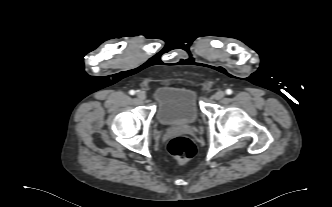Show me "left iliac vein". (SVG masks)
I'll return each mask as SVG.
<instances>
[{
    "mask_svg": "<svg viewBox=\"0 0 332 207\" xmlns=\"http://www.w3.org/2000/svg\"><path fill=\"white\" fill-rule=\"evenodd\" d=\"M225 96V93L223 92V91H217L216 93H214V95H213V98L215 99V100H220V99H222L223 97Z\"/></svg>",
    "mask_w": 332,
    "mask_h": 207,
    "instance_id": "1",
    "label": "left iliac vein"
}]
</instances>
